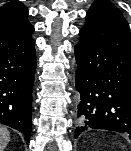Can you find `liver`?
I'll list each match as a JSON object with an SVG mask.
<instances>
[{
  "label": "liver",
  "instance_id": "1",
  "mask_svg": "<svg viewBox=\"0 0 131 151\" xmlns=\"http://www.w3.org/2000/svg\"><path fill=\"white\" fill-rule=\"evenodd\" d=\"M10 140V133L8 130L0 126V151H3Z\"/></svg>",
  "mask_w": 131,
  "mask_h": 151
}]
</instances>
